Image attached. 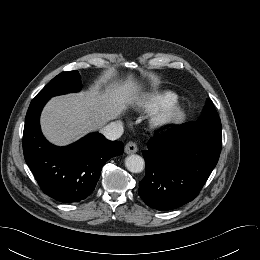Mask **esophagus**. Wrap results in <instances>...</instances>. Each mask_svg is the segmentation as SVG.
I'll list each match as a JSON object with an SVG mask.
<instances>
[{"instance_id": "obj_1", "label": "esophagus", "mask_w": 260, "mask_h": 260, "mask_svg": "<svg viewBox=\"0 0 260 260\" xmlns=\"http://www.w3.org/2000/svg\"><path fill=\"white\" fill-rule=\"evenodd\" d=\"M124 150L126 154H134L138 151V147L134 142H128L125 145Z\"/></svg>"}]
</instances>
